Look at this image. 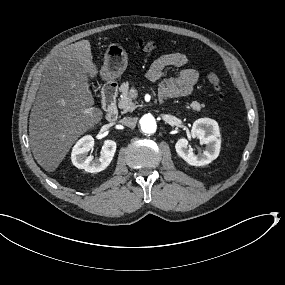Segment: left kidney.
<instances>
[{
	"mask_svg": "<svg viewBox=\"0 0 285 285\" xmlns=\"http://www.w3.org/2000/svg\"><path fill=\"white\" fill-rule=\"evenodd\" d=\"M192 137L198 138L201 144H206V150L200 155H195L188 148V140L181 138L177 141L175 149L177 154L188 164L203 166L215 160L220 153L221 135L218 123L210 118L197 119L191 129Z\"/></svg>",
	"mask_w": 285,
	"mask_h": 285,
	"instance_id": "obj_1",
	"label": "left kidney"
}]
</instances>
